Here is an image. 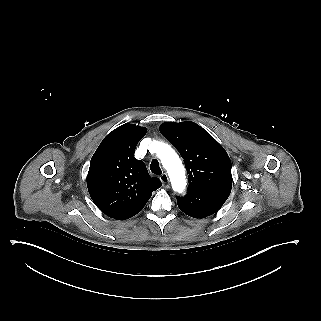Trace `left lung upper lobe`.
I'll return each instance as SVG.
<instances>
[{
  "label": "left lung upper lobe",
  "instance_id": "1",
  "mask_svg": "<svg viewBox=\"0 0 321 321\" xmlns=\"http://www.w3.org/2000/svg\"><path fill=\"white\" fill-rule=\"evenodd\" d=\"M159 129L184 159L189 174L188 189L231 188V160L202 127L190 121L165 122Z\"/></svg>",
  "mask_w": 321,
  "mask_h": 321
}]
</instances>
